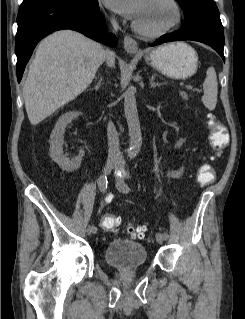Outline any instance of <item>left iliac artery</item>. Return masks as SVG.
Here are the masks:
<instances>
[{
	"label": "left iliac artery",
	"instance_id": "1",
	"mask_svg": "<svg viewBox=\"0 0 245 319\" xmlns=\"http://www.w3.org/2000/svg\"><path fill=\"white\" fill-rule=\"evenodd\" d=\"M122 190L124 191H129L130 190V186H128L125 182L122 184ZM163 236L167 239L169 237L168 233H162Z\"/></svg>",
	"mask_w": 245,
	"mask_h": 319
}]
</instances>
